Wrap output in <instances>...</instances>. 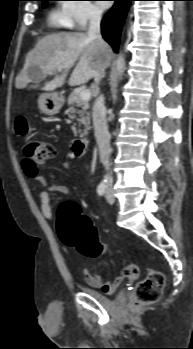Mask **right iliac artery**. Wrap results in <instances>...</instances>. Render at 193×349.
<instances>
[{
    "label": "right iliac artery",
    "instance_id": "1",
    "mask_svg": "<svg viewBox=\"0 0 193 349\" xmlns=\"http://www.w3.org/2000/svg\"><path fill=\"white\" fill-rule=\"evenodd\" d=\"M106 189H107V184L104 183V182H102V183H100V184L98 185V187H97V193H98L100 196H102V195L105 194Z\"/></svg>",
    "mask_w": 193,
    "mask_h": 349
}]
</instances>
